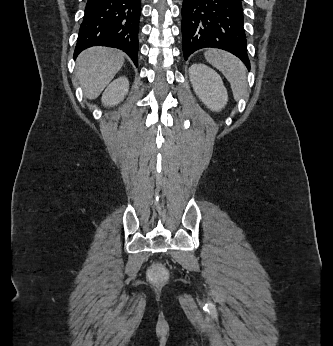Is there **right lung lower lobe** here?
I'll return each instance as SVG.
<instances>
[{
  "instance_id": "obj_1",
  "label": "right lung lower lobe",
  "mask_w": 333,
  "mask_h": 346,
  "mask_svg": "<svg viewBox=\"0 0 333 346\" xmlns=\"http://www.w3.org/2000/svg\"><path fill=\"white\" fill-rule=\"evenodd\" d=\"M140 0H87L74 58L86 48L108 46L123 50L138 65Z\"/></svg>"
}]
</instances>
